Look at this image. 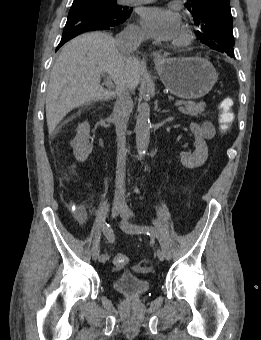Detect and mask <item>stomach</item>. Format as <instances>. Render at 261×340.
Wrapping results in <instances>:
<instances>
[{
  "label": "stomach",
  "instance_id": "stomach-1",
  "mask_svg": "<svg viewBox=\"0 0 261 340\" xmlns=\"http://www.w3.org/2000/svg\"><path fill=\"white\" fill-rule=\"evenodd\" d=\"M155 65L164 86L183 99L205 96L217 81L216 69L205 58H169L155 62Z\"/></svg>",
  "mask_w": 261,
  "mask_h": 340
}]
</instances>
